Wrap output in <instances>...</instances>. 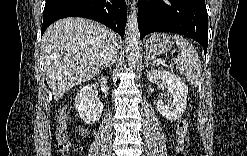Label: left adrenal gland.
Segmentation results:
<instances>
[{
	"label": "left adrenal gland",
	"instance_id": "1",
	"mask_svg": "<svg viewBox=\"0 0 247 156\" xmlns=\"http://www.w3.org/2000/svg\"><path fill=\"white\" fill-rule=\"evenodd\" d=\"M149 64H151V63H150V59H149V57L146 55V56H145V65L148 66Z\"/></svg>",
	"mask_w": 247,
	"mask_h": 156
}]
</instances>
